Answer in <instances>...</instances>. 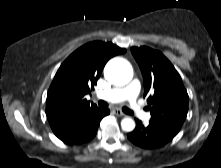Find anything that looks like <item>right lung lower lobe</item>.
<instances>
[{
  "instance_id": "obj_1",
  "label": "right lung lower lobe",
  "mask_w": 221,
  "mask_h": 168,
  "mask_svg": "<svg viewBox=\"0 0 221 168\" xmlns=\"http://www.w3.org/2000/svg\"><path fill=\"white\" fill-rule=\"evenodd\" d=\"M109 113V109L97 108L49 123L64 143L81 144L95 137L100 121Z\"/></svg>"
}]
</instances>
